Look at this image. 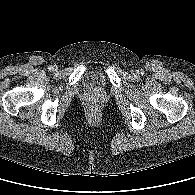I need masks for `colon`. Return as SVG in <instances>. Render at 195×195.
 Here are the masks:
<instances>
[{"label": "colon", "instance_id": "5ec220e1", "mask_svg": "<svg viewBox=\"0 0 195 195\" xmlns=\"http://www.w3.org/2000/svg\"><path fill=\"white\" fill-rule=\"evenodd\" d=\"M90 108H91L92 111H95L96 110V107L94 105H91Z\"/></svg>", "mask_w": 195, "mask_h": 195}]
</instances>
